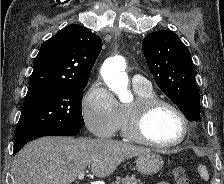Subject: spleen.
Wrapping results in <instances>:
<instances>
[{
  "instance_id": "3e777b00",
  "label": "spleen",
  "mask_w": 224,
  "mask_h": 184,
  "mask_svg": "<svg viewBox=\"0 0 224 184\" xmlns=\"http://www.w3.org/2000/svg\"><path fill=\"white\" fill-rule=\"evenodd\" d=\"M198 172H199L200 177L203 180H205V181L209 180V173H208L207 168L204 165H199L198 166Z\"/></svg>"
}]
</instances>
